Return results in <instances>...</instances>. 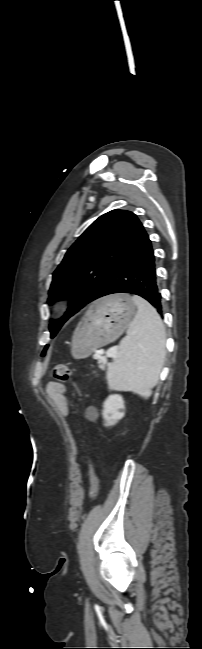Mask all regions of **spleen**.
Instances as JSON below:
<instances>
[{
  "instance_id": "1",
  "label": "spleen",
  "mask_w": 202,
  "mask_h": 649,
  "mask_svg": "<svg viewBox=\"0 0 202 649\" xmlns=\"http://www.w3.org/2000/svg\"><path fill=\"white\" fill-rule=\"evenodd\" d=\"M138 308L117 359L107 372L109 389L130 390L147 399L156 386L165 356V327L155 308L138 295Z\"/></svg>"
}]
</instances>
